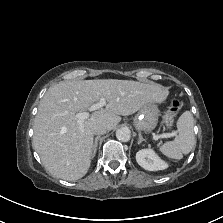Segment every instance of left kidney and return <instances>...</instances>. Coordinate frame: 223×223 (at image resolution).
<instances>
[{
	"label": "left kidney",
	"instance_id": "5707ae66",
	"mask_svg": "<svg viewBox=\"0 0 223 223\" xmlns=\"http://www.w3.org/2000/svg\"><path fill=\"white\" fill-rule=\"evenodd\" d=\"M137 163L148 171H158L168 168V164L160 159V157L152 149H142L136 153Z\"/></svg>",
	"mask_w": 223,
	"mask_h": 223
}]
</instances>
